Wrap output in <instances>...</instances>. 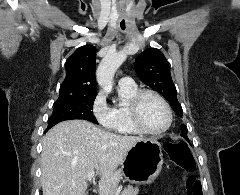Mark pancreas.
I'll use <instances>...</instances> for the list:
<instances>
[{
    "mask_svg": "<svg viewBox=\"0 0 240 195\" xmlns=\"http://www.w3.org/2000/svg\"><path fill=\"white\" fill-rule=\"evenodd\" d=\"M138 191H139L138 187H133V185H128V187H125V189H123V191H121L119 195H137Z\"/></svg>",
    "mask_w": 240,
    "mask_h": 195,
    "instance_id": "1",
    "label": "pancreas"
}]
</instances>
